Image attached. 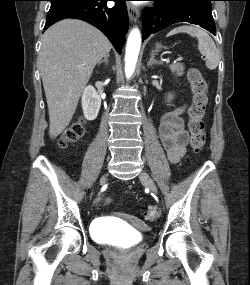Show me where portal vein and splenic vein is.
Segmentation results:
<instances>
[{
  "label": "portal vein and splenic vein",
  "instance_id": "obj_1",
  "mask_svg": "<svg viewBox=\"0 0 250 285\" xmlns=\"http://www.w3.org/2000/svg\"><path fill=\"white\" fill-rule=\"evenodd\" d=\"M182 58H179V59H177L176 61H179V60H181Z\"/></svg>",
  "mask_w": 250,
  "mask_h": 285
}]
</instances>
